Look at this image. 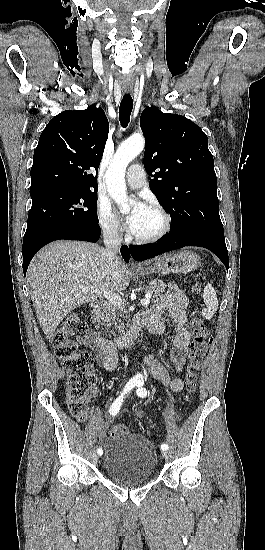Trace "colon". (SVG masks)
<instances>
[{
	"label": "colon",
	"instance_id": "obj_1",
	"mask_svg": "<svg viewBox=\"0 0 265 550\" xmlns=\"http://www.w3.org/2000/svg\"><path fill=\"white\" fill-rule=\"evenodd\" d=\"M205 276L198 275L195 278V288L205 283ZM86 324L81 319L79 312L73 311L67 315L53 336V347L56 357L62 363L67 372L66 401L70 413L79 421L87 417V400L92 391L96 376L93 371V357L85 350H80L78 345L71 340L77 332H83ZM190 331L192 334L191 352L185 374V397L195 390L196 379L200 367L207 356L213 336L205 325L203 315L195 310L191 314ZM128 434L125 425H114L110 431L112 437H121Z\"/></svg>",
	"mask_w": 265,
	"mask_h": 550
}]
</instances>
